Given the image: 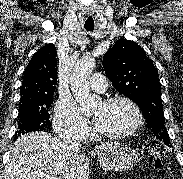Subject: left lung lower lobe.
<instances>
[{
  "label": "left lung lower lobe",
  "mask_w": 183,
  "mask_h": 179,
  "mask_svg": "<svg viewBox=\"0 0 183 179\" xmlns=\"http://www.w3.org/2000/svg\"><path fill=\"white\" fill-rule=\"evenodd\" d=\"M166 145H168L169 147H171V144H170V143H168V144H166Z\"/></svg>",
  "instance_id": "0a47b994"
}]
</instances>
